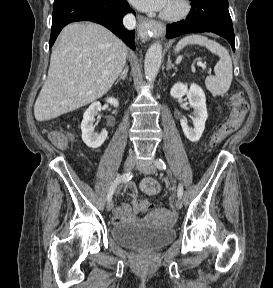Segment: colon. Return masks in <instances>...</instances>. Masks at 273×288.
Here are the masks:
<instances>
[{"mask_svg":"<svg viewBox=\"0 0 273 288\" xmlns=\"http://www.w3.org/2000/svg\"><path fill=\"white\" fill-rule=\"evenodd\" d=\"M231 107L229 117L213 133L210 140L211 147L218 146L242 125L249 106L241 93H235L231 97ZM48 136L56 146L62 148L66 147L70 140V137L67 134L58 130L48 131ZM137 206L141 212H146L150 209L149 202L145 200L137 201Z\"/></svg>","mask_w":273,"mask_h":288,"instance_id":"colon-1","label":"colon"}]
</instances>
